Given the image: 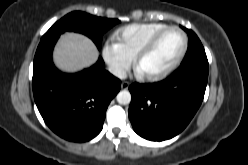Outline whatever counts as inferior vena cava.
<instances>
[{"instance_id": "1", "label": "inferior vena cava", "mask_w": 248, "mask_h": 165, "mask_svg": "<svg viewBox=\"0 0 248 165\" xmlns=\"http://www.w3.org/2000/svg\"><path fill=\"white\" fill-rule=\"evenodd\" d=\"M109 72L120 79H125L127 77L126 70L119 66H110Z\"/></svg>"}]
</instances>
